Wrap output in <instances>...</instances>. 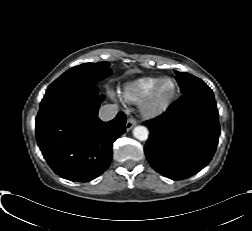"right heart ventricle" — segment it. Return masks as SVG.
<instances>
[{
  "instance_id": "obj_1",
  "label": "right heart ventricle",
  "mask_w": 252,
  "mask_h": 231,
  "mask_svg": "<svg viewBox=\"0 0 252 231\" xmlns=\"http://www.w3.org/2000/svg\"><path fill=\"white\" fill-rule=\"evenodd\" d=\"M161 79V77L146 76L127 82L120 90V96L128 103H140L148 97Z\"/></svg>"
}]
</instances>
